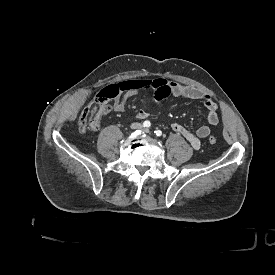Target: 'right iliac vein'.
<instances>
[{
    "label": "right iliac vein",
    "instance_id": "63e3f726",
    "mask_svg": "<svg viewBox=\"0 0 275 275\" xmlns=\"http://www.w3.org/2000/svg\"><path fill=\"white\" fill-rule=\"evenodd\" d=\"M132 128H134V129H136V128H141V125H140V124L135 123V124H133Z\"/></svg>",
    "mask_w": 275,
    "mask_h": 275
}]
</instances>
